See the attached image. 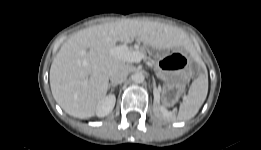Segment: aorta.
Wrapping results in <instances>:
<instances>
[{
  "instance_id": "aorta-1",
  "label": "aorta",
  "mask_w": 261,
  "mask_h": 150,
  "mask_svg": "<svg viewBox=\"0 0 261 150\" xmlns=\"http://www.w3.org/2000/svg\"><path fill=\"white\" fill-rule=\"evenodd\" d=\"M132 79H133V81H134L135 83L139 84V83H142V82L144 81L145 76H144L143 73L138 72V73H135V74L133 75V78H132Z\"/></svg>"
}]
</instances>
